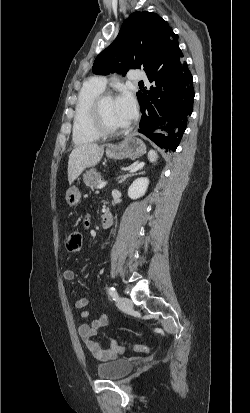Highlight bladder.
I'll return each mask as SVG.
<instances>
[{"mask_svg": "<svg viewBox=\"0 0 250 413\" xmlns=\"http://www.w3.org/2000/svg\"><path fill=\"white\" fill-rule=\"evenodd\" d=\"M133 369V363L124 358L114 359L97 365V375L102 379L117 380L128 375Z\"/></svg>", "mask_w": 250, "mask_h": 413, "instance_id": "31cf9c89", "label": "bladder"}]
</instances>
